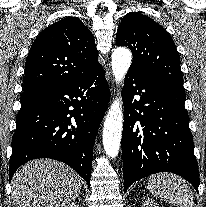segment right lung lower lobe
<instances>
[{"label": "right lung lower lobe", "instance_id": "obj_1", "mask_svg": "<svg viewBox=\"0 0 206 207\" xmlns=\"http://www.w3.org/2000/svg\"><path fill=\"white\" fill-rule=\"evenodd\" d=\"M109 100L103 68L24 92L11 144L10 180L27 161L51 158L72 167L90 187L93 143Z\"/></svg>", "mask_w": 206, "mask_h": 207}]
</instances>
